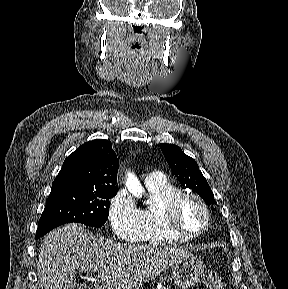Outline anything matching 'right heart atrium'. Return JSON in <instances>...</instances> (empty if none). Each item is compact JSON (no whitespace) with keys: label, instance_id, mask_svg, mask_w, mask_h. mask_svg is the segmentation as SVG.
Listing matches in <instances>:
<instances>
[{"label":"right heart atrium","instance_id":"obj_1","mask_svg":"<svg viewBox=\"0 0 288 289\" xmlns=\"http://www.w3.org/2000/svg\"><path fill=\"white\" fill-rule=\"evenodd\" d=\"M108 216L118 239L127 242L140 240L143 230L141 210L126 190L118 191L111 198Z\"/></svg>","mask_w":288,"mask_h":289}]
</instances>
